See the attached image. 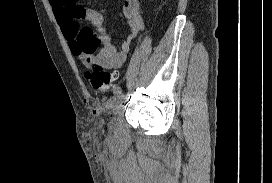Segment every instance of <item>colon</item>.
Masks as SVG:
<instances>
[{
    "mask_svg": "<svg viewBox=\"0 0 272 183\" xmlns=\"http://www.w3.org/2000/svg\"><path fill=\"white\" fill-rule=\"evenodd\" d=\"M85 77L91 87L98 92L110 90L116 79V74L105 71L99 64L88 61Z\"/></svg>",
    "mask_w": 272,
    "mask_h": 183,
    "instance_id": "5ec220e1",
    "label": "colon"
}]
</instances>
